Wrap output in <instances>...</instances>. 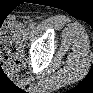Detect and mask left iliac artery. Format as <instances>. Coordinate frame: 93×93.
<instances>
[{
    "mask_svg": "<svg viewBox=\"0 0 93 93\" xmlns=\"http://www.w3.org/2000/svg\"><path fill=\"white\" fill-rule=\"evenodd\" d=\"M29 27H30V28H34V25H33V24H30Z\"/></svg>",
    "mask_w": 93,
    "mask_h": 93,
    "instance_id": "44dca946",
    "label": "left iliac artery"
}]
</instances>
